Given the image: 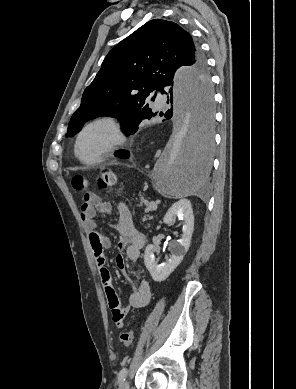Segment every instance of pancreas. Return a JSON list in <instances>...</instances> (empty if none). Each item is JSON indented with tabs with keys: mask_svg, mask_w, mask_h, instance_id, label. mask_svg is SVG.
I'll list each match as a JSON object with an SVG mask.
<instances>
[{
	"mask_svg": "<svg viewBox=\"0 0 296 389\" xmlns=\"http://www.w3.org/2000/svg\"><path fill=\"white\" fill-rule=\"evenodd\" d=\"M152 209L148 206V208H147V211H151ZM148 219H151V217L150 216H144L143 217V221L145 222L146 220H148Z\"/></svg>",
	"mask_w": 296,
	"mask_h": 389,
	"instance_id": "cf45deb5",
	"label": "pancreas"
}]
</instances>
